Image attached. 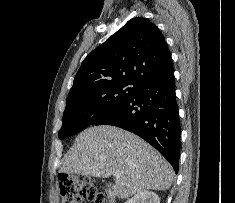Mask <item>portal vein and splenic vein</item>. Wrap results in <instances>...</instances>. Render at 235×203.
<instances>
[{
	"label": "portal vein and splenic vein",
	"mask_w": 235,
	"mask_h": 203,
	"mask_svg": "<svg viewBox=\"0 0 235 203\" xmlns=\"http://www.w3.org/2000/svg\"><path fill=\"white\" fill-rule=\"evenodd\" d=\"M114 176H115L116 178H118V177L121 176V173H120V172H115V173H114Z\"/></svg>",
	"instance_id": "portal-vein-and-splenic-vein-1"
}]
</instances>
